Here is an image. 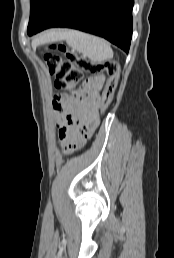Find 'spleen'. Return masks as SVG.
Segmentation results:
<instances>
[{
	"instance_id": "spleen-1",
	"label": "spleen",
	"mask_w": 174,
	"mask_h": 258,
	"mask_svg": "<svg viewBox=\"0 0 174 258\" xmlns=\"http://www.w3.org/2000/svg\"><path fill=\"white\" fill-rule=\"evenodd\" d=\"M51 39H66L67 43L77 52L87 55L92 61H103L113 57V51L107 41L77 30H66Z\"/></svg>"
}]
</instances>
